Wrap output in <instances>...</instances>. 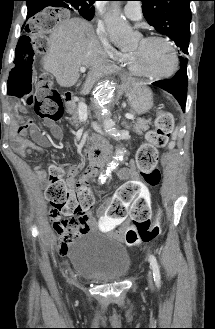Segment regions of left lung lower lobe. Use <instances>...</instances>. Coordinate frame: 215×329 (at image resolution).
<instances>
[{
	"label": "left lung lower lobe",
	"instance_id": "obj_1",
	"mask_svg": "<svg viewBox=\"0 0 215 329\" xmlns=\"http://www.w3.org/2000/svg\"><path fill=\"white\" fill-rule=\"evenodd\" d=\"M187 62H180V70L175 76L169 80L156 81L153 85L162 88L163 90L171 93L179 102L183 111L186 106V94H187Z\"/></svg>",
	"mask_w": 215,
	"mask_h": 329
}]
</instances>
